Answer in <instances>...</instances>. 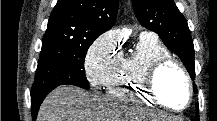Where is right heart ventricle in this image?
I'll list each match as a JSON object with an SVG mask.
<instances>
[{"mask_svg": "<svg viewBox=\"0 0 217 121\" xmlns=\"http://www.w3.org/2000/svg\"><path fill=\"white\" fill-rule=\"evenodd\" d=\"M168 50L155 37H139L135 51L121 57L105 85L107 94L125 102L154 103L145 92L144 77L155 61L169 57Z\"/></svg>", "mask_w": 217, "mask_h": 121, "instance_id": "right-heart-ventricle-1", "label": "right heart ventricle"}]
</instances>
